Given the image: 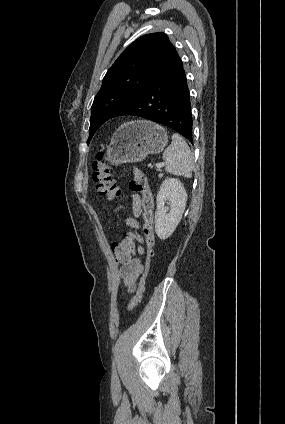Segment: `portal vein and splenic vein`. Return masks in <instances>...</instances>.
<instances>
[{"label": "portal vein and splenic vein", "mask_w": 285, "mask_h": 424, "mask_svg": "<svg viewBox=\"0 0 285 424\" xmlns=\"http://www.w3.org/2000/svg\"><path fill=\"white\" fill-rule=\"evenodd\" d=\"M165 165V163H158V164H156V167L157 168H161V167H163Z\"/></svg>", "instance_id": "18ae733b"}]
</instances>
